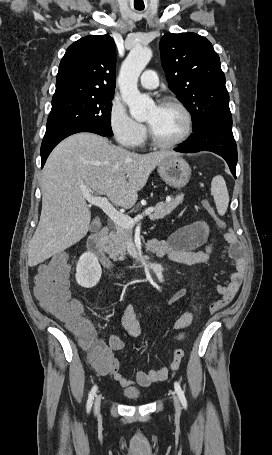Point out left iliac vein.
Masks as SVG:
<instances>
[{
	"mask_svg": "<svg viewBox=\"0 0 272 455\" xmlns=\"http://www.w3.org/2000/svg\"><path fill=\"white\" fill-rule=\"evenodd\" d=\"M173 399H174V406H175L176 410L180 411V403H179L178 397L176 395H174Z\"/></svg>",
	"mask_w": 272,
	"mask_h": 455,
	"instance_id": "obj_1",
	"label": "left iliac vein"
}]
</instances>
